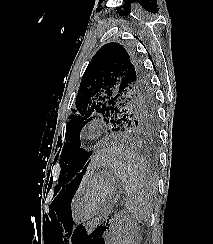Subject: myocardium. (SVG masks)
Listing matches in <instances>:
<instances>
[{
	"label": "myocardium",
	"instance_id": "myocardium-1",
	"mask_svg": "<svg viewBox=\"0 0 213 244\" xmlns=\"http://www.w3.org/2000/svg\"><path fill=\"white\" fill-rule=\"evenodd\" d=\"M80 136L84 140L94 141L101 136V129L97 124H88L81 130Z\"/></svg>",
	"mask_w": 213,
	"mask_h": 244
}]
</instances>
